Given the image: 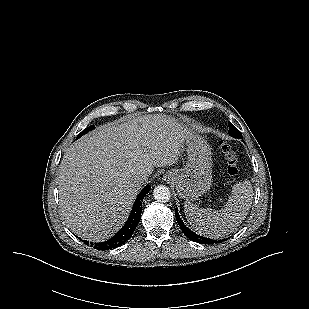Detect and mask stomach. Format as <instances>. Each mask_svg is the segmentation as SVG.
<instances>
[{
  "label": "stomach",
  "instance_id": "0dacf381",
  "mask_svg": "<svg viewBox=\"0 0 309 309\" xmlns=\"http://www.w3.org/2000/svg\"><path fill=\"white\" fill-rule=\"evenodd\" d=\"M187 163L181 169H171L164 175L187 202L206 193L212 183V156L207 141L199 134L186 131Z\"/></svg>",
  "mask_w": 309,
  "mask_h": 309
}]
</instances>
